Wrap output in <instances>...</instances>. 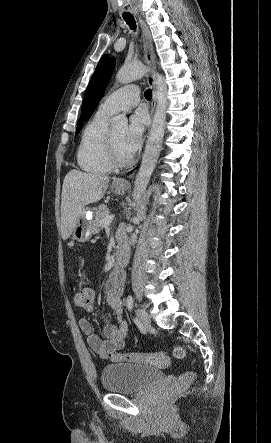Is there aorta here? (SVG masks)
Instances as JSON below:
<instances>
[{
  "mask_svg": "<svg viewBox=\"0 0 271 443\" xmlns=\"http://www.w3.org/2000/svg\"><path fill=\"white\" fill-rule=\"evenodd\" d=\"M148 68L144 64H130L123 66L116 74L117 82L120 84H129L137 78H143L147 74ZM156 84V110L153 116V122L147 140L145 152L143 154L140 170L136 176L133 188V200L135 208L141 204L142 196L149 184V180L154 172L157 160L162 150L163 138L165 134L166 110L168 106L167 100V84L164 76L155 74ZM112 124L116 130L127 126L128 120L124 114L112 118ZM136 220V218H132Z\"/></svg>",
  "mask_w": 271,
  "mask_h": 443,
  "instance_id": "1",
  "label": "aorta"
}]
</instances>
